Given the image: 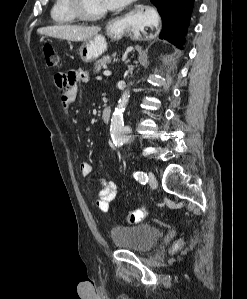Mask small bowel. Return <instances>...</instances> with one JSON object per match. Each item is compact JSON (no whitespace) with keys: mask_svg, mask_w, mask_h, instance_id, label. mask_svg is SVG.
Here are the masks:
<instances>
[{"mask_svg":"<svg viewBox=\"0 0 247 299\" xmlns=\"http://www.w3.org/2000/svg\"><path fill=\"white\" fill-rule=\"evenodd\" d=\"M88 80L89 75L83 70L70 71L67 74H57L55 76L56 85L62 90V105L68 115L70 114L72 106L76 100L79 85L83 82H87ZM91 171L92 168L88 162H80L79 173L81 176L86 177L91 173ZM99 184L101 189L95 203L101 211L105 212L109 210L110 204L117 196V186L106 175L99 179Z\"/></svg>","mask_w":247,"mask_h":299,"instance_id":"obj_1","label":"small bowel"}]
</instances>
